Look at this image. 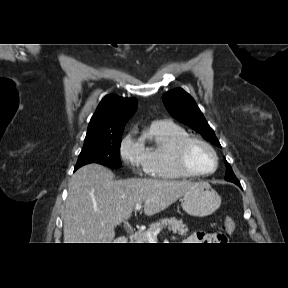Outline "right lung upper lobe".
Instances as JSON below:
<instances>
[{
    "label": "right lung upper lobe",
    "instance_id": "right-lung-upper-lobe-1",
    "mask_svg": "<svg viewBox=\"0 0 288 288\" xmlns=\"http://www.w3.org/2000/svg\"><path fill=\"white\" fill-rule=\"evenodd\" d=\"M136 108L135 98L106 95L90 120L85 141L122 132Z\"/></svg>",
    "mask_w": 288,
    "mask_h": 288
}]
</instances>
